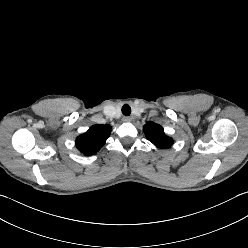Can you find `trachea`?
Wrapping results in <instances>:
<instances>
[{"label":"trachea","instance_id":"1","mask_svg":"<svg viewBox=\"0 0 248 248\" xmlns=\"http://www.w3.org/2000/svg\"><path fill=\"white\" fill-rule=\"evenodd\" d=\"M122 113L126 116H129L131 113V107L128 104L123 105Z\"/></svg>","mask_w":248,"mask_h":248}]
</instances>
